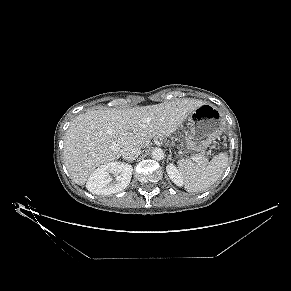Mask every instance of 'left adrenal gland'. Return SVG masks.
I'll list each match as a JSON object with an SVG mask.
<instances>
[{
	"instance_id": "left-adrenal-gland-1",
	"label": "left adrenal gland",
	"mask_w": 291,
	"mask_h": 291,
	"mask_svg": "<svg viewBox=\"0 0 291 291\" xmlns=\"http://www.w3.org/2000/svg\"><path fill=\"white\" fill-rule=\"evenodd\" d=\"M171 159H172V152L170 151V154H169V156H168V159H167V160L169 161V160H171Z\"/></svg>"
}]
</instances>
